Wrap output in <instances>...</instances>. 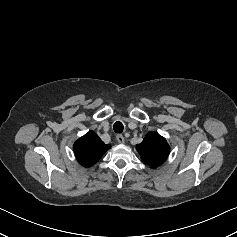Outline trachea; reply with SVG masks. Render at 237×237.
I'll return each instance as SVG.
<instances>
[{"label":"trachea","mask_w":237,"mask_h":237,"mask_svg":"<svg viewBox=\"0 0 237 237\" xmlns=\"http://www.w3.org/2000/svg\"><path fill=\"white\" fill-rule=\"evenodd\" d=\"M113 129L116 133H122L123 132V124L120 121H117L114 123Z\"/></svg>","instance_id":"3493384b"}]
</instances>
